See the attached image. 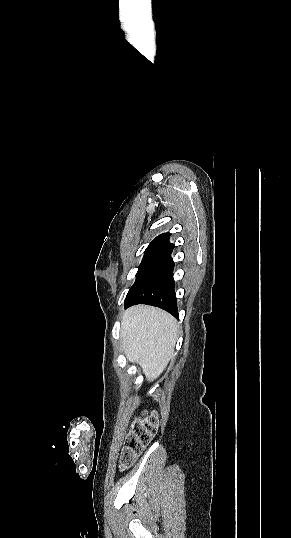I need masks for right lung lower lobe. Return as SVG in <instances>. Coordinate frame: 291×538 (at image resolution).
<instances>
[{
	"instance_id": "1",
	"label": "right lung lower lobe",
	"mask_w": 291,
	"mask_h": 538,
	"mask_svg": "<svg viewBox=\"0 0 291 538\" xmlns=\"http://www.w3.org/2000/svg\"><path fill=\"white\" fill-rule=\"evenodd\" d=\"M173 269L174 262L170 255L137 287L125 304V308L136 304H148L162 308L178 317Z\"/></svg>"
}]
</instances>
